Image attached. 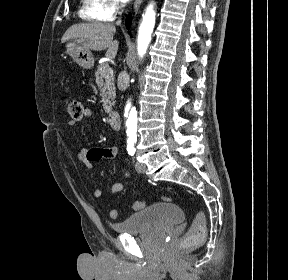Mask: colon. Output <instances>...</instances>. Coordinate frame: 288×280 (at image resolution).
<instances>
[{
    "label": "colon",
    "mask_w": 288,
    "mask_h": 280,
    "mask_svg": "<svg viewBox=\"0 0 288 280\" xmlns=\"http://www.w3.org/2000/svg\"><path fill=\"white\" fill-rule=\"evenodd\" d=\"M65 108L70 115L71 118L74 120H80L83 117L84 113V106L83 104L75 99L67 98L64 100ZM165 201H169V197H163ZM145 206L144 201H137L133 204V208L135 210H140ZM119 215L117 209H112L110 211V217L112 219H116ZM206 236V219L203 212L198 211L193 219L192 225L187 231V233L183 236L181 240V247L182 248H189L196 245L201 244Z\"/></svg>",
    "instance_id": "1"
}]
</instances>
